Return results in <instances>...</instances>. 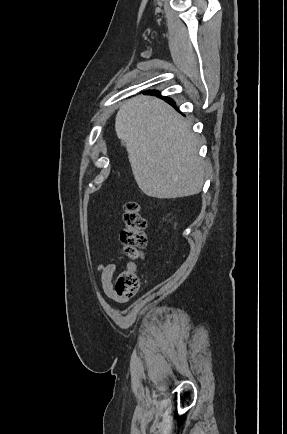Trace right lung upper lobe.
I'll list each match as a JSON object with an SVG mask.
<instances>
[{
  "mask_svg": "<svg viewBox=\"0 0 287 434\" xmlns=\"http://www.w3.org/2000/svg\"><path fill=\"white\" fill-rule=\"evenodd\" d=\"M154 92H157V91H147L146 93H154Z\"/></svg>",
  "mask_w": 287,
  "mask_h": 434,
  "instance_id": "right-lung-upper-lobe-1",
  "label": "right lung upper lobe"
}]
</instances>
